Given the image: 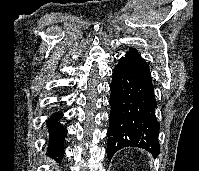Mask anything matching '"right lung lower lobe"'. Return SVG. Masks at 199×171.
<instances>
[{
	"label": "right lung lower lobe",
	"instance_id": "98d812e1",
	"mask_svg": "<svg viewBox=\"0 0 199 171\" xmlns=\"http://www.w3.org/2000/svg\"><path fill=\"white\" fill-rule=\"evenodd\" d=\"M62 118L61 113H54L48 120L49 127V148L48 154L61 160L64 156V137L67 134L66 129L58 121Z\"/></svg>",
	"mask_w": 199,
	"mask_h": 171
}]
</instances>
